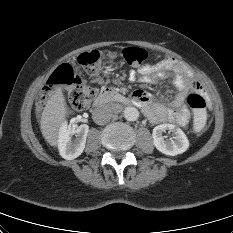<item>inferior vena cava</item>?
Masks as SVG:
<instances>
[{"label": "inferior vena cava", "instance_id": "inferior-vena-cava-1", "mask_svg": "<svg viewBox=\"0 0 233 233\" xmlns=\"http://www.w3.org/2000/svg\"><path fill=\"white\" fill-rule=\"evenodd\" d=\"M93 120L99 125H104L108 123L113 117V111L107 104H102L97 106L93 110Z\"/></svg>", "mask_w": 233, "mask_h": 233}]
</instances>
